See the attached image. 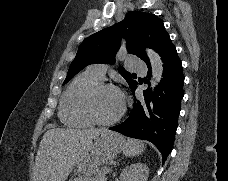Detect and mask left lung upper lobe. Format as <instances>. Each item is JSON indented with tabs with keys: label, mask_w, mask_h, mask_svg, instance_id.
<instances>
[{
	"label": "left lung upper lobe",
	"mask_w": 228,
	"mask_h": 181,
	"mask_svg": "<svg viewBox=\"0 0 228 181\" xmlns=\"http://www.w3.org/2000/svg\"><path fill=\"white\" fill-rule=\"evenodd\" d=\"M121 37L127 41L128 52L145 61L148 57L144 48L150 47L156 51L169 35L156 15L130 11L123 21L92 34L80 44L64 84L89 64L114 63ZM118 70L129 86L137 82L134 73L127 72L123 67H119Z\"/></svg>",
	"instance_id": "1"
}]
</instances>
